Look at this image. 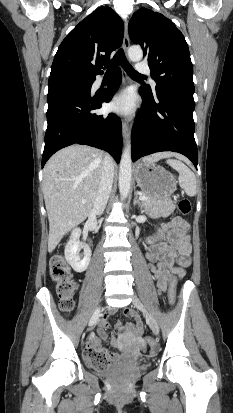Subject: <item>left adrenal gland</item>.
I'll return each instance as SVG.
<instances>
[{
    "mask_svg": "<svg viewBox=\"0 0 233 413\" xmlns=\"http://www.w3.org/2000/svg\"><path fill=\"white\" fill-rule=\"evenodd\" d=\"M134 205H138V208L142 211L143 205L142 202L139 200L137 191L135 190L134 192V200H133Z\"/></svg>",
    "mask_w": 233,
    "mask_h": 413,
    "instance_id": "left-adrenal-gland-1",
    "label": "left adrenal gland"
}]
</instances>
